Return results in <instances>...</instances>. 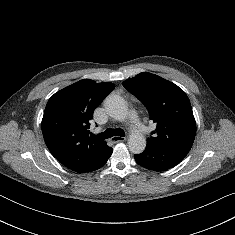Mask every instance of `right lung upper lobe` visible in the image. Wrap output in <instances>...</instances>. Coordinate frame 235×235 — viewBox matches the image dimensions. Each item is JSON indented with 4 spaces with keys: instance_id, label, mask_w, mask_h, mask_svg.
Segmentation results:
<instances>
[{
    "instance_id": "cb5924a9",
    "label": "right lung upper lobe",
    "mask_w": 235,
    "mask_h": 235,
    "mask_svg": "<svg viewBox=\"0 0 235 235\" xmlns=\"http://www.w3.org/2000/svg\"><path fill=\"white\" fill-rule=\"evenodd\" d=\"M114 88L112 83L83 79L49 99L42 119L44 141L67 168L81 172L107 146L105 141L89 138L88 129L94 109Z\"/></svg>"
}]
</instances>
